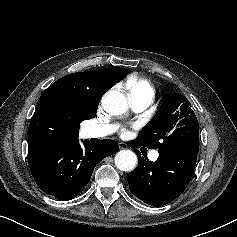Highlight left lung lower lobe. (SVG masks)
<instances>
[{
	"label": "left lung lower lobe",
	"instance_id": "left-lung-lower-lobe-1",
	"mask_svg": "<svg viewBox=\"0 0 237 237\" xmlns=\"http://www.w3.org/2000/svg\"><path fill=\"white\" fill-rule=\"evenodd\" d=\"M140 146L136 140L131 142L132 148ZM134 151L139 163L127 174L130 191L149 205L162 206L177 198L188 186L196 166L199 134L177 151H159L155 162L141 157L139 150Z\"/></svg>",
	"mask_w": 237,
	"mask_h": 237
}]
</instances>
